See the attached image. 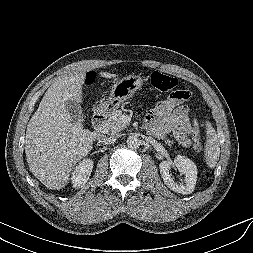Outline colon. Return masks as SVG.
<instances>
[{
	"label": "colon",
	"mask_w": 253,
	"mask_h": 253,
	"mask_svg": "<svg viewBox=\"0 0 253 253\" xmlns=\"http://www.w3.org/2000/svg\"><path fill=\"white\" fill-rule=\"evenodd\" d=\"M93 78V73H88L85 82L89 84L93 81ZM150 83L154 90L159 92H171V96L175 99H184V101H186L190 97L187 90L176 89L178 81L175 77L166 75L159 71H154L151 74ZM193 142L197 147H200L199 137L196 133L193 135Z\"/></svg>",
	"instance_id": "1"
}]
</instances>
